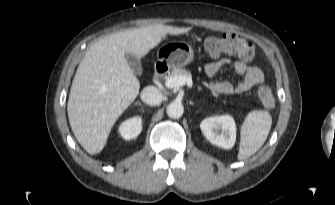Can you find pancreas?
<instances>
[{
    "instance_id": "obj_1",
    "label": "pancreas",
    "mask_w": 335,
    "mask_h": 205,
    "mask_svg": "<svg viewBox=\"0 0 335 205\" xmlns=\"http://www.w3.org/2000/svg\"><path fill=\"white\" fill-rule=\"evenodd\" d=\"M174 76H186V77H191V73L190 71L183 69V68H173V70L171 71V73L166 76V79L170 78V77H174Z\"/></svg>"
}]
</instances>
